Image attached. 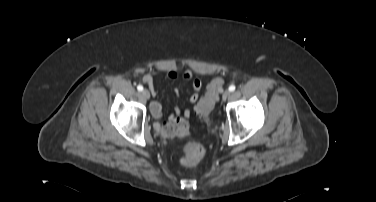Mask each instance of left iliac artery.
Segmentation results:
<instances>
[{"mask_svg": "<svg viewBox=\"0 0 376 202\" xmlns=\"http://www.w3.org/2000/svg\"><path fill=\"white\" fill-rule=\"evenodd\" d=\"M236 89L235 85H230L229 86V91L233 92Z\"/></svg>", "mask_w": 376, "mask_h": 202, "instance_id": "left-iliac-artery-1", "label": "left iliac artery"}]
</instances>
